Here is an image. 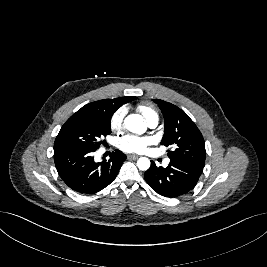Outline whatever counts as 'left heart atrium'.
Listing matches in <instances>:
<instances>
[{"label":"left heart atrium","instance_id":"39dd6f15","mask_svg":"<svg viewBox=\"0 0 267 267\" xmlns=\"http://www.w3.org/2000/svg\"><path fill=\"white\" fill-rule=\"evenodd\" d=\"M151 137L126 135L119 139L118 146L121 150L131 153H142L152 144Z\"/></svg>","mask_w":267,"mask_h":267}]
</instances>
